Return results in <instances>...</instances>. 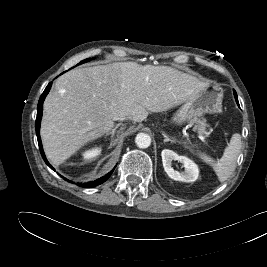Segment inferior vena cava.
I'll return each instance as SVG.
<instances>
[{
	"label": "inferior vena cava",
	"mask_w": 267,
	"mask_h": 267,
	"mask_svg": "<svg viewBox=\"0 0 267 267\" xmlns=\"http://www.w3.org/2000/svg\"><path fill=\"white\" fill-rule=\"evenodd\" d=\"M124 119L126 118H120V117L116 118V120H124Z\"/></svg>",
	"instance_id": "1"
}]
</instances>
